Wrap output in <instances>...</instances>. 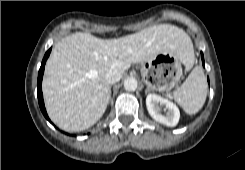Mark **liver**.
Wrapping results in <instances>:
<instances>
[{
    "label": "liver",
    "instance_id": "obj_1",
    "mask_svg": "<svg viewBox=\"0 0 245 170\" xmlns=\"http://www.w3.org/2000/svg\"><path fill=\"white\" fill-rule=\"evenodd\" d=\"M176 52L192 66L193 47L180 28L161 24L117 39L103 40L89 33H74L58 41L45 66L42 89L46 109L59 128L79 132L104 114L110 86L109 68L122 74L132 63H143L163 52Z\"/></svg>",
    "mask_w": 245,
    "mask_h": 170
}]
</instances>
